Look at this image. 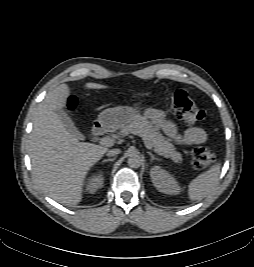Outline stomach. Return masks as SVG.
<instances>
[{
  "mask_svg": "<svg viewBox=\"0 0 254 267\" xmlns=\"http://www.w3.org/2000/svg\"><path fill=\"white\" fill-rule=\"evenodd\" d=\"M139 106H117L107 108L99 115L97 122L104 128L110 130L122 129L137 119Z\"/></svg>",
  "mask_w": 254,
  "mask_h": 267,
  "instance_id": "1",
  "label": "stomach"
}]
</instances>
